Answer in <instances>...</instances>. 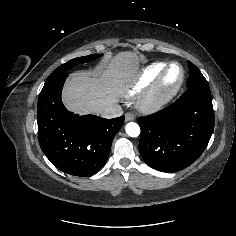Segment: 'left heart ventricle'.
<instances>
[{
	"instance_id": "b2bd125f",
	"label": "left heart ventricle",
	"mask_w": 236,
	"mask_h": 236,
	"mask_svg": "<svg viewBox=\"0 0 236 236\" xmlns=\"http://www.w3.org/2000/svg\"><path fill=\"white\" fill-rule=\"evenodd\" d=\"M180 74H181V70L177 65H173L165 79L164 82L162 84V89L164 91H168L169 89H171L172 87H174V85L178 82L179 78H180Z\"/></svg>"
}]
</instances>
